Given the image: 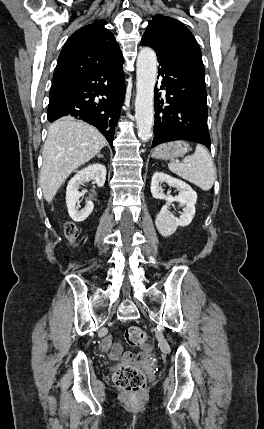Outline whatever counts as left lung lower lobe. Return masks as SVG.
I'll return each instance as SVG.
<instances>
[{"label":"left lung lower lobe","mask_w":264,"mask_h":429,"mask_svg":"<svg viewBox=\"0 0 264 429\" xmlns=\"http://www.w3.org/2000/svg\"><path fill=\"white\" fill-rule=\"evenodd\" d=\"M140 45L153 48L162 76L161 89L166 90V107L159 100L161 93L155 88L154 139L152 147L174 140L202 143L210 149L207 127V99L205 80L177 55L163 50L146 37ZM159 77V76H158Z\"/></svg>","instance_id":"1"}]
</instances>
